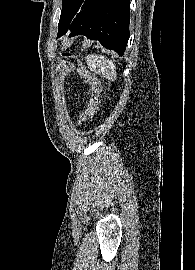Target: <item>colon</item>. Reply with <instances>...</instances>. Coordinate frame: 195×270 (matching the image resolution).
Wrapping results in <instances>:
<instances>
[{
  "label": "colon",
  "mask_w": 195,
  "mask_h": 270,
  "mask_svg": "<svg viewBox=\"0 0 195 270\" xmlns=\"http://www.w3.org/2000/svg\"><path fill=\"white\" fill-rule=\"evenodd\" d=\"M62 55L64 57L69 56L67 53H62ZM78 72L90 89V98L87 107L77 122V125H82L86 122L91 121L99 111L100 97L102 93V83L93 72H91L83 65L79 66Z\"/></svg>",
  "instance_id": "1"
}]
</instances>
